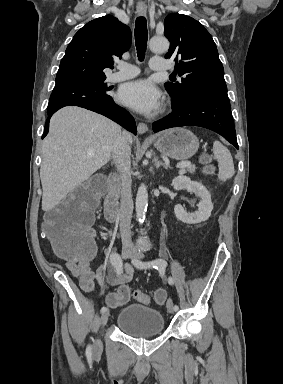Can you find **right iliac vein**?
Listing matches in <instances>:
<instances>
[{
  "instance_id": "right-iliac-vein-1",
  "label": "right iliac vein",
  "mask_w": 283,
  "mask_h": 384,
  "mask_svg": "<svg viewBox=\"0 0 283 384\" xmlns=\"http://www.w3.org/2000/svg\"><path fill=\"white\" fill-rule=\"evenodd\" d=\"M131 255V250L129 247H123L121 251V256L124 259H128ZM110 316L109 310L102 313L101 319H100V327H104L108 321V318ZM102 351V342L99 338H97L93 343V355L98 356Z\"/></svg>"
}]
</instances>
